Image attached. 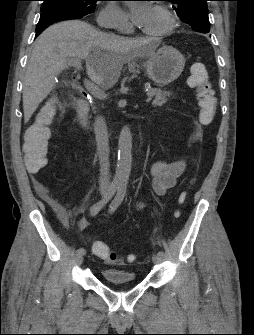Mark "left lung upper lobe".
Wrapping results in <instances>:
<instances>
[{"label": "left lung upper lobe", "instance_id": "1", "mask_svg": "<svg viewBox=\"0 0 254 335\" xmlns=\"http://www.w3.org/2000/svg\"><path fill=\"white\" fill-rule=\"evenodd\" d=\"M171 1L173 9L178 17L192 28L201 33H208L210 22L207 11L209 0H168Z\"/></svg>", "mask_w": 254, "mask_h": 335}]
</instances>
